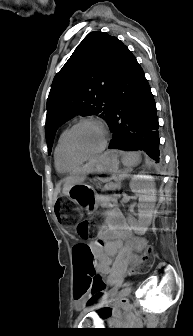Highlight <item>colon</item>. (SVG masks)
<instances>
[{"label": "colon", "instance_id": "colon-1", "mask_svg": "<svg viewBox=\"0 0 193 336\" xmlns=\"http://www.w3.org/2000/svg\"><path fill=\"white\" fill-rule=\"evenodd\" d=\"M56 208L61 223L68 229H75L80 238L89 239L95 229L92 222L87 220H80L79 213L75 211L74 204L67 198H60L56 202ZM74 264L79 273V281L76 284L75 294L77 298H86V301H91L94 296L85 294V286L89 283L101 285L102 281L97 278L96 270L94 268L92 255L87 245H76L73 250ZM154 258V251L152 248H147L142 254L139 261V268L141 270L149 268Z\"/></svg>", "mask_w": 193, "mask_h": 336}]
</instances>
